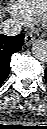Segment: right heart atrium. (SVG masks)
Instances as JSON below:
<instances>
[{"label":"right heart atrium","instance_id":"1","mask_svg":"<svg viewBox=\"0 0 47 129\" xmlns=\"http://www.w3.org/2000/svg\"><path fill=\"white\" fill-rule=\"evenodd\" d=\"M7 8L9 14L19 26H25L32 20V17L16 0L10 1Z\"/></svg>","mask_w":47,"mask_h":129}]
</instances>
